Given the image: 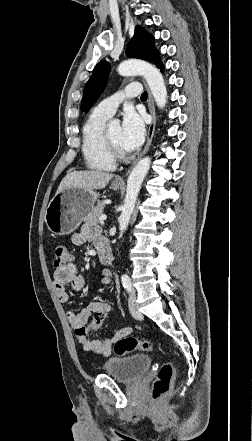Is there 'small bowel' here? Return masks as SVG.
<instances>
[{
    "label": "small bowel",
    "instance_id": "small-bowel-1",
    "mask_svg": "<svg viewBox=\"0 0 252 441\" xmlns=\"http://www.w3.org/2000/svg\"><path fill=\"white\" fill-rule=\"evenodd\" d=\"M88 241H92L96 249L102 243H107L106 239L101 235L99 228L94 226H86L81 231L75 232L72 235V242L75 245H82ZM101 282L107 286L111 285L112 274L109 270H103L101 272ZM53 284L59 301L61 303H67L69 301L67 285H70L74 291L78 292L84 288L85 279L83 275L77 272L75 264L69 263L55 270ZM108 306L111 305L107 301H94L85 308L81 309L79 312L70 310L66 314L68 322L76 331L86 326L88 319L92 314ZM131 332L132 329L130 327H126L117 331L113 337L104 340L91 339L88 336L83 338L76 337L86 352L108 356L112 351L113 345L118 340L130 335Z\"/></svg>",
    "mask_w": 252,
    "mask_h": 441
}]
</instances>
